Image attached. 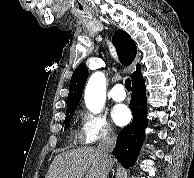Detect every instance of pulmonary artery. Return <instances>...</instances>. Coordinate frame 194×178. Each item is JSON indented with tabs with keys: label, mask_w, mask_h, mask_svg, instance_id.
Returning a JSON list of instances; mask_svg holds the SVG:
<instances>
[{
	"label": "pulmonary artery",
	"mask_w": 194,
	"mask_h": 178,
	"mask_svg": "<svg viewBox=\"0 0 194 178\" xmlns=\"http://www.w3.org/2000/svg\"><path fill=\"white\" fill-rule=\"evenodd\" d=\"M110 96L116 102L123 101L126 97L123 86L121 84L115 85L110 91Z\"/></svg>",
	"instance_id": "1"
}]
</instances>
